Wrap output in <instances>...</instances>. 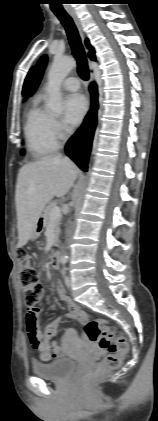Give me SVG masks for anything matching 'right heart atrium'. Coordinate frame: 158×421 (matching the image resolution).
Here are the masks:
<instances>
[{
	"instance_id": "right-heart-atrium-1",
	"label": "right heart atrium",
	"mask_w": 158,
	"mask_h": 421,
	"mask_svg": "<svg viewBox=\"0 0 158 421\" xmlns=\"http://www.w3.org/2000/svg\"><path fill=\"white\" fill-rule=\"evenodd\" d=\"M53 129L57 137H61L65 133L63 125L57 120H53Z\"/></svg>"
}]
</instances>
